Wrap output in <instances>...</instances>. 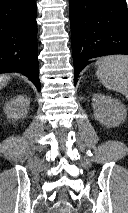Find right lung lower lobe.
<instances>
[{
  "instance_id": "1",
  "label": "right lung lower lobe",
  "mask_w": 128,
  "mask_h": 213,
  "mask_svg": "<svg viewBox=\"0 0 128 213\" xmlns=\"http://www.w3.org/2000/svg\"><path fill=\"white\" fill-rule=\"evenodd\" d=\"M0 71L22 73L41 89L35 0H0Z\"/></svg>"
}]
</instances>
